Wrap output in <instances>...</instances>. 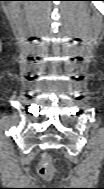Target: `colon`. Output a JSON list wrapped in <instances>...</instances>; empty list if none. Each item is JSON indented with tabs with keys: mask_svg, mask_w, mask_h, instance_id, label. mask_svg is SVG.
<instances>
[{
	"mask_svg": "<svg viewBox=\"0 0 104 189\" xmlns=\"http://www.w3.org/2000/svg\"><path fill=\"white\" fill-rule=\"evenodd\" d=\"M38 173L43 178H52L55 174L51 159L48 154H44L39 165H38Z\"/></svg>",
	"mask_w": 104,
	"mask_h": 189,
	"instance_id": "5ec220e1",
	"label": "colon"
}]
</instances>
